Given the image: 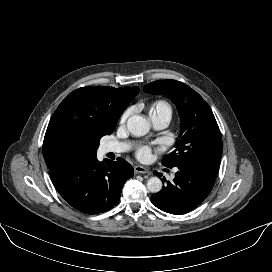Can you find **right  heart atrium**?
<instances>
[{"label": "right heart atrium", "mask_w": 272, "mask_h": 272, "mask_svg": "<svg viewBox=\"0 0 272 272\" xmlns=\"http://www.w3.org/2000/svg\"><path fill=\"white\" fill-rule=\"evenodd\" d=\"M129 115H130V111L129 110L125 111L120 117V124H124L127 118L129 117Z\"/></svg>", "instance_id": "1"}]
</instances>
